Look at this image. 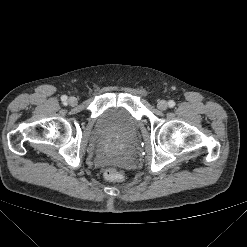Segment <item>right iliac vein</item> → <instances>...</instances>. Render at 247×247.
<instances>
[{
  "label": "right iliac vein",
  "instance_id": "right-iliac-vein-1",
  "mask_svg": "<svg viewBox=\"0 0 247 247\" xmlns=\"http://www.w3.org/2000/svg\"><path fill=\"white\" fill-rule=\"evenodd\" d=\"M77 98L76 97H70L68 99V103L71 105V106H75L77 104Z\"/></svg>",
  "mask_w": 247,
  "mask_h": 247
}]
</instances>
